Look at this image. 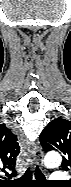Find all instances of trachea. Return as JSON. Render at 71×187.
<instances>
[{"label":"trachea","mask_w":71,"mask_h":187,"mask_svg":"<svg viewBox=\"0 0 71 187\" xmlns=\"http://www.w3.org/2000/svg\"><path fill=\"white\" fill-rule=\"evenodd\" d=\"M34 174H35V178L37 180H40V179H44V175L43 173L40 171L39 167L36 166L35 170H34ZM24 177L26 178H31L32 177V172L30 169H28L24 175Z\"/></svg>","instance_id":"trachea-1"}]
</instances>
